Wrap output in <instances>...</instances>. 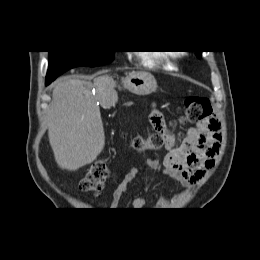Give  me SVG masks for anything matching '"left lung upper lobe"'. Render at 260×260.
<instances>
[{
	"instance_id": "1",
	"label": "left lung upper lobe",
	"mask_w": 260,
	"mask_h": 260,
	"mask_svg": "<svg viewBox=\"0 0 260 260\" xmlns=\"http://www.w3.org/2000/svg\"><path fill=\"white\" fill-rule=\"evenodd\" d=\"M201 52H202V51H197L198 57H201Z\"/></svg>"
}]
</instances>
